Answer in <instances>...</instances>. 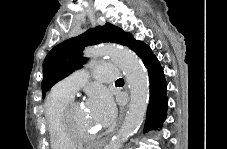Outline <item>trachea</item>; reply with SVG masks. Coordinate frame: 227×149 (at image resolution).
I'll list each match as a JSON object with an SVG mask.
<instances>
[{
    "label": "trachea",
    "instance_id": "obj_1",
    "mask_svg": "<svg viewBox=\"0 0 227 149\" xmlns=\"http://www.w3.org/2000/svg\"><path fill=\"white\" fill-rule=\"evenodd\" d=\"M119 82H124V80L122 78H120L116 81V83H119Z\"/></svg>",
    "mask_w": 227,
    "mask_h": 149
}]
</instances>
